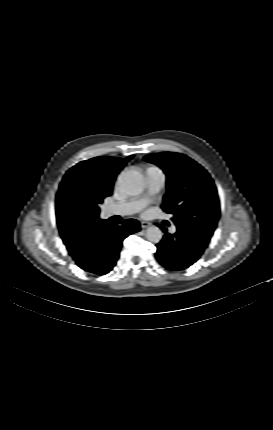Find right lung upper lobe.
Listing matches in <instances>:
<instances>
[{
	"mask_svg": "<svg viewBox=\"0 0 273 430\" xmlns=\"http://www.w3.org/2000/svg\"><path fill=\"white\" fill-rule=\"evenodd\" d=\"M131 158L132 155L124 159L101 156L78 163L65 174L56 203L73 189L101 199L110 196L117 174ZM60 234L68 251L72 252L83 244L86 228L72 232L60 231Z\"/></svg>",
	"mask_w": 273,
	"mask_h": 430,
	"instance_id": "cb5924a9",
	"label": "right lung upper lobe"
}]
</instances>
